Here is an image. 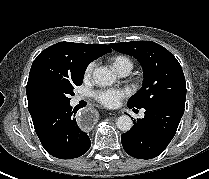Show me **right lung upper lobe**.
<instances>
[{
    "label": "right lung upper lobe",
    "mask_w": 209,
    "mask_h": 179,
    "mask_svg": "<svg viewBox=\"0 0 209 179\" xmlns=\"http://www.w3.org/2000/svg\"><path fill=\"white\" fill-rule=\"evenodd\" d=\"M111 51V48L105 44L72 42L54 44L42 51L34 60L26 91L32 81L41 74L50 73L70 78L78 73L85 72L90 62Z\"/></svg>",
    "instance_id": "obj_1"
}]
</instances>
